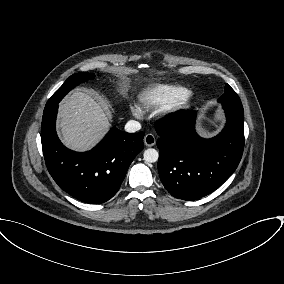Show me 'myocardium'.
Segmentation results:
<instances>
[{
	"instance_id": "obj_1",
	"label": "myocardium",
	"mask_w": 284,
	"mask_h": 284,
	"mask_svg": "<svg viewBox=\"0 0 284 284\" xmlns=\"http://www.w3.org/2000/svg\"><path fill=\"white\" fill-rule=\"evenodd\" d=\"M190 98H191V96L188 95L185 99H183V100L180 101L179 103L173 105V106H174V109H175V110H178V109L185 108V107L188 105V103H189V101H190Z\"/></svg>"
}]
</instances>
